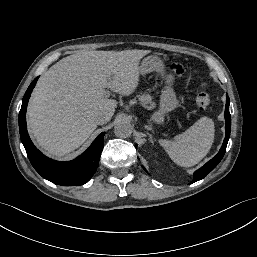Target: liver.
Returning <instances> with one entry per match:
<instances>
[{
  "label": "liver",
  "instance_id": "obj_1",
  "mask_svg": "<svg viewBox=\"0 0 257 257\" xmlns=\"http://www.w3.org/2000/svg\"><path fill=\"white\" fill-rule=\"evenodd\" d=\"M149 50L85 51L67 56L39 79L28 104V127L39 146L63 157L96 129V117L110 114L117 101L105 88L124 96L139 83V62Z\"/></svg>",
  "mask_w": 257,
  "mask_h": 257
}]
</instances>
